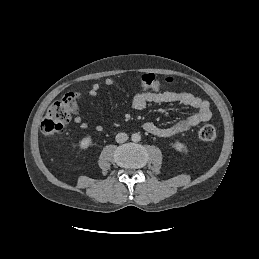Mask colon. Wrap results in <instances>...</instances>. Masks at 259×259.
<instances>
[{"instance_id": "colon-1", "label": "colon", "mask_w": 259, "mask_h": 259, "mask_svg": "<svg viewBox=\"0 0 259 259\" xmlns=\"http://www.w3.org/2000/svg\"><path fill=\"white\" fill-rule=\"evenodd\" d=\"M172 78H166L160 81L152 74L144 75L141 79V87L144 91H156L163 86L171 85ZM80 94L70 92L65 94L59 101L54 102L41 123V132L48 137L62 135L67 123L78 111ZM198 137L201 141H213L216 137V130L212 125H205L198 131Z\"/></svg>"}]
</instances>
